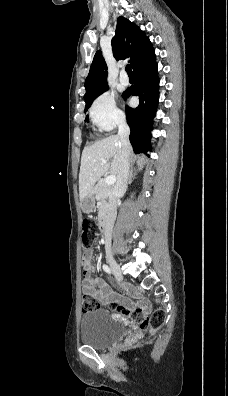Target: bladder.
Here are the masks:
<instances>
[{
  "instance_id": "1",
  "label": "bladder",
  "mask_w": 228,
  "mask_h": 396,
  "mask_svg": "<svg viewBox=\"0 0 228 396\" xmlns=\"http://www.w3.org/2000/svg\"><path fill=\"white\" fill-rule=\"evenodd\" d=\"M128 332L129 329L123 323L113 320L103 309L88 311L80 321L81 341L98 349L124 339Z\"/></svg>"
}]
</instances>
